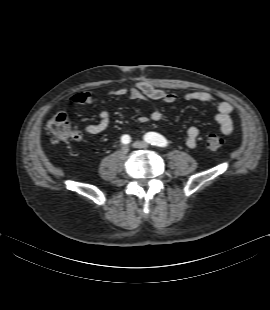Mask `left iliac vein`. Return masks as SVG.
Listing matches in <instances>:
<instances>
[{"label":"left iliac vein","instance_id":"left-iliac-vein-1","mask_svg":"<svg viewBox=\"0 0 270 310\" xmlns=\"http://www.w3.org/2000/svg\"><path fill=\"white\" fill-rule=\"evenodd\" d=\"M133 147L146 149V148H148V144L144 141H135L133 143Z\"/></svg>","mask_w":270,"mask_h":310}]
</instances>
